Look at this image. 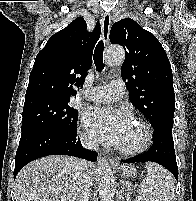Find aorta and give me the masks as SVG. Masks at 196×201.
<instances>
[{
    "label": "aorta",
    "mask_w": 196,
    "mask_h": 201,
    "mask_svg": "<svg viewBox=\"0 0 196 201\" xmlns=\"http://www.w3.org/2000/svg\"><path fill=\"white\" fill-rule=\"evenodd\" d=\"M104 59L109 66L121 65L125 59V51L121 46H111L106 50ZM97 177L100 201H114L115 181L111 167L105 158L98 160Z\"/></svg>",
    "instance_id": "1"
}]
</instances>
